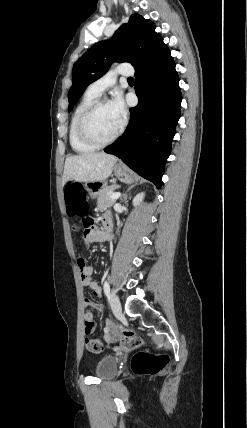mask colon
<instances>
[{
	"label": "colon",
	"mask_w": 247,
	"mask_h": 428,
	"mask_svg": "<svg viewBox=\"0 0 247 428\" xmlns=\"http://www.w3.org/2000/svg\"><path fill=\"white\" fill-rule=\"evenodd\" d=\"M65 202V216L69 217L76 236L85 235L94 224L93 217H86V197L82 185L78 182H68L65 186L64 192ZM82 258L78 259V266L84 264ZM82 305H88L90 309L95 308L99 315L107 314L106 304H101L97 298L92 300H82ZM96 322L90 317L84 320V332L87 334L85 338L86 348L93 353H99L103 350V345L100 340L93 338L89 335L94 333ZM118 333V331H116ZM121 337V345L126 350H133L138 348L142 340L131 330H122L119 332ZM169 358L166 355H151L146 352H138L132 360V368L137 374H155L163 369L168 363Z\"/></svg>",
	"instance_id": "obj_1"
}]
</instances>
